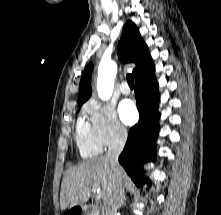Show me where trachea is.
<instances>
[{
	"label": "trachea",
	"mask_w": 221,
	"mask_h": 215,
	"mask_svg": "<svg viewBox=\"0 0 221 215\" xmlns=\"http://www.w3.org/2000/svg\"><path fill=\"white\" fill-rule=\"evenodd\" d=\"M126 79H127L129 86L131 88L134 87V77L131 73L127 74Z\"/></svg>",
	"instance_id": "trachea-1"
}]
</instances>
